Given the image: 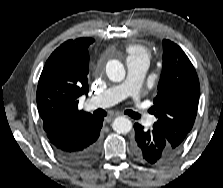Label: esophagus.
<instances>
[{"instance_id":"34e87169","label":"esophagus","mask_w":223,"mask_h":188,"mask_svg":"<svg viewBox=\"0 0 223 188\" xmlns=\"http://www.w3.org/2000/svg\"><path fill=\"white\" fill-rule=\"evenodd\" d=\"M119 114H115L114 116H112V117H108V118H106V121L107 122H111L113 119H114V117H116V116H118Z\"/></svg>"}]
</instances>
